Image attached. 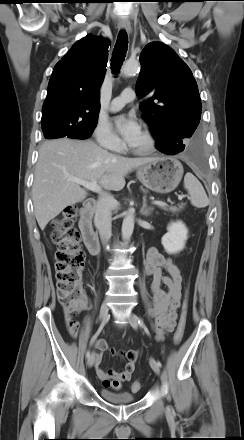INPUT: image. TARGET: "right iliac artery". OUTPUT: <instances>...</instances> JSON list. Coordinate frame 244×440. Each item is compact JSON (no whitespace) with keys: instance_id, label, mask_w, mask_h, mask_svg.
Segmentation results:
<instances>
[{"instance_id":"right-iliac-artery-1","label":"right iliac artery","mask_w":244,"mask_h":440,"mask_svg":"<svg viewBox=\"0 0 244 440\" xmlns=\"http://www.w3.org/2000/svg\"><path fill=\"white\" fill-rule=\"evenodd\" d=\"M105 323H106V321H104V322L101 323V325H100V327L98 328L97 332H96L95 335L93 336V339H96L97 336L101 333V331H102L103 328H104ZM90 355H91V352H90V350H88L87 353H86V357L89 358Z\"/></svg>"}]
</instances>
